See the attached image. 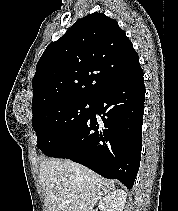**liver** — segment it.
Listing matches in <instances>:
<instances>
[{"label": "liver", "instance_id": "1", "mask_svg": "<svg viewBox=\"0 0 178 211\" xmlns=\"http://www.w3.org/2000/svg\"><path fill=\"white\" fill-rule=\"evenodd\" d=\"M39 178L48 211H93L98 200L115 190L112 181L70 160L42 161Z\"/></svg>", "mask_w": 178, "mask_h": 211}]
</instances>
